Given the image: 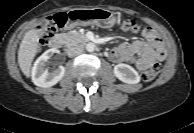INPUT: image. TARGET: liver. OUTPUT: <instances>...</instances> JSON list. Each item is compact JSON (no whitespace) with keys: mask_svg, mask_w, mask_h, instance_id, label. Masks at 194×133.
<instances>
[{"mask_svg":"<svg viewBox=\"0 0 194 133\" xmlns=\"http://www.w3.org/2000/svg\"><path fill=\"white\" fill-rule=\"evenodd\" d=\"M41 29H32L28 31L20 44L18 51V63L21 71L26 77L30 76L31 65L34 57L39 50V39Z\"/></svg>","mask_w":194,"mask_h":133,"instance_id":"obj_1","label":"liver"}]
</instances>
